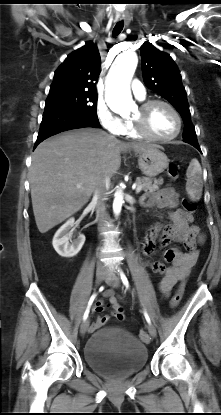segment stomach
Returning <instances> with one entry per match:
<instances>
[{
  "instance_id": "obj_1",
  "label": "stomach",
  "mask_w": 221,
  "mask_h": 415,
  "mask_svg": "<svg viewBox=\"0 0 221 415\" xmlns=\"http://www.w3.org/2000/svg\"><path fill=\"white\" fill-rule=\"evenodd\" d=\"M138 165L142 173L148 177H155L162 173L169 165V159L158 146L152 145L137 153Z\"/></svg>"
}]
</instances>
